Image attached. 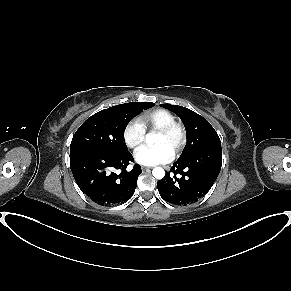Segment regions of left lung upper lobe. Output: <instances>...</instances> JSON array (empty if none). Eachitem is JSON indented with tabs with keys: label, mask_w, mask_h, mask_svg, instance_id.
<instances>
[{
	"label": "left lung upper lobe",
	"mask_w": 291,
	"mask_h": 291,
	"mask_svg": "<svg viewBox=\"0 0 291 291\" xmlns=\"http://www.w3.org/2000/svg\"><path fill=\"white\" fill-rule=\"evenodd\" d=\"M161 106L178 115L186 128L187 143L179 159L211 147H221L218 134L204 117L182 106L170 104Z\"/></svg>",
	"instance_id": "left-lung-upper-lobe-1"
}]
</instances>
